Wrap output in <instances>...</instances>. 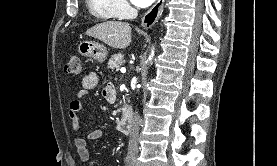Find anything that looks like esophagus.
<instances>
[{"instance_id": "1", "label": "esophagus", "mask_w": 277, "mask_h": 166, "mask_svg": "<svg viewBox=\"0 0 277 166\" xmlns=\"http://www.w3.org/2000/svg\"><path fill=\"white\" fill-rule=\"evenodd\" d=\"M165 0H157L155 4L148 10L142 18L141 26L149 29L158 21L161 16Z\"/></svg>"}]
</instances>
